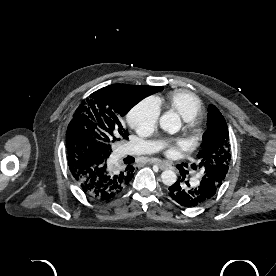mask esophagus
Here are the masks:
<instances>
[{
	"instance_id": "34e87169",
	"label": "esophagus",
	"mask_w": 276,
	"mask_h": 276,
	"mask_svg": "<svg viewBox=\"0 0 276 276\" xmlns=\"http://www.w3.org/2000/svg\"><path fill=\"white\" fill-rule=\"evenodd\" d=\"M150 163L158 165L161 170H165L168 168V164L159 159H150Z\"/></svg>"
}]
</instances>
